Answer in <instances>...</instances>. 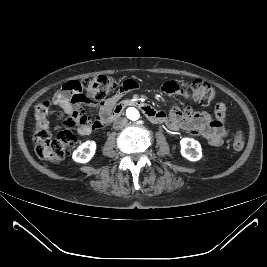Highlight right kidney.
Segmentation results:
<instances>
[{
  "mask_svg": "<svg viewBox=\"0 0 267 267\" xmlns=\"http://www.w3.org/2000/svg\"><path fill=\"white\" fill-rule=\"evenodd\" d=\"M96 143L94 141H86L81 144L77 150L73 152V159L79 163H87L94 156Z\"/></svg>",
  "mask_w": 267,
  "mask_h": 267,
  "instance_id": "ca27d5eb",
  "label": "right kidney"
}]
</instances>
